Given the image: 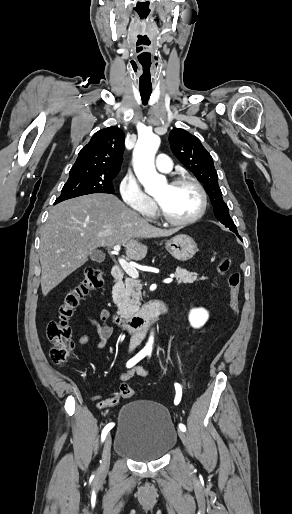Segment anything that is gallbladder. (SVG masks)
Segmentation results:
<instances>
[{
    "mask_svg": "<svg viewBox=\"0 0 292 514\" xmlns=\"http://www.w3.org/2000/svg\"><path fill=\"white\" fill-rule=\"evenodd\" d=\"M100 258H101V262H103V260H104V254H101ZM96 260H98V256H96Z\"/></svg>",
    "mask_w": 292,
    "mask_h": 514,
    "instance_id": "bac80fb5",
    "label": "gallbladder"
}]
</instances>
